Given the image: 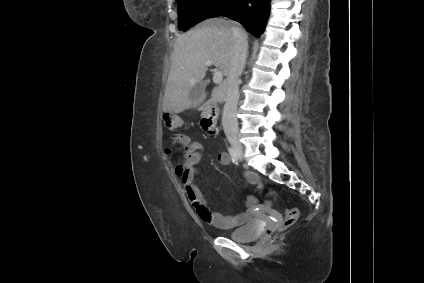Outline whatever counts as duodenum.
<instances>
[{"mask_svg":"<svg viewBox=\"0 0 424 283\" xmlns=\"http://www.w3.org/2000/svg\"><path fill=\"white\" fill-rule=\"evenodd\" d=\"M203 129L212 137L218 134V109L211 105L202 120Z\"/></svg>","mask_w":424,"mask_h":283,"instance_id":"obj_1","label":"duodenum"}]
</instances>
